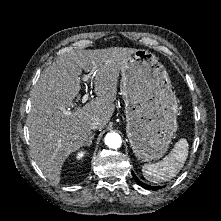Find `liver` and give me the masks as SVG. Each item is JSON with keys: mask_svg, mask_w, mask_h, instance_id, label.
Masks as SVG:
<instances>
[{"mask_svg": "<svg viewBox=\"0 0 221 221\" xmlns=\"http://www.w3.org/2000/svg\"><path fill=\"white\" fill-rule=\"evenodd\" d=\"M136 50L110 47L71 51L59 56L41 74L31 92L27 125L32 158L51 182H60L65 160L91 138V123L99 121L101 130L110 121L120 71ZM82 70L95 73L97 97L77 107L74 99L81 90ZM71 108V114L65 115L64 111Z\"/></svg>", "mask_w": 221, "mask_h": 221, "instance_id": "1", "label": "liver"}]
</instances>
